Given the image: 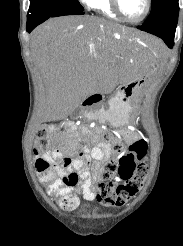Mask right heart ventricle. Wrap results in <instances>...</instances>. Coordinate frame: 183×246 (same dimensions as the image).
I'll return each instance as SVG.
<instances>
[{
  "instance_id": "e07e8e85",
  "label": "right heart ventricle",
  "mask_w": 183,
  "mask_h": 246,
  "mask_svg": "<svg viewBox=\"0 0 183 246\" xmlns=\"http://www.w3.org/2000/svg\"><path fill=\"white\" fill-rule=\"evenodd\" d=\"M89 7L108 18L119 20L120 17L113 10L110 0H90Z\"/></svg>"
}]
</instances>
